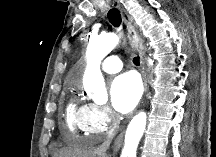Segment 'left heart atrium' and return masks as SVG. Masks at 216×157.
I'll list each match as a JSON object with an SVG mask.
<instances>
[{"label":"left heart atrium","mask_w":216,"mask_h":157,"mask_svg":"<svg viewBox=\"0 0 216 157\" xmlns=\"http://www.w3.org/2000/svg\"><path fill=\"white\" fill-rule=\"evenodd\" d=\"M141 96V84L136 75L125 73L117 76L110 85V100L114 109L126 114L137 105Z\"/></svg>","instance_id":"39dd6f15"}]
</instances>
